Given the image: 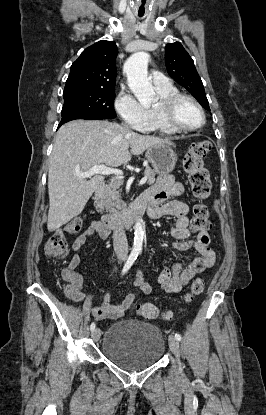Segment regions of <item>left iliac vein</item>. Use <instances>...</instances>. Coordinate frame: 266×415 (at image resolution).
Returning <instances> with one entry per match:
<instances>
[{
	"mask_svg": "<svg viewBox=\"0 0 266 415\" xmlns=\"http://www.w3.org/2000/svg\"><path fill=\"white\" fill-rule=\"evenodd\" d=\"M168 342H169L170 350L176 356L177 361L179 363V366H181V363H180V349H179L178 340L173 336H169Z\"/></svg>",
	"mask_w": 266,
	"mask_h": 415,
	"instance_id": "left-iliac-vein-1",
	"label": "left iliac vein"
}]
</instances>
